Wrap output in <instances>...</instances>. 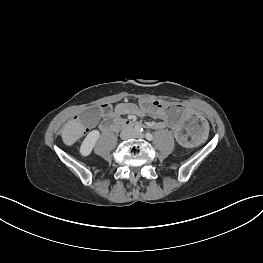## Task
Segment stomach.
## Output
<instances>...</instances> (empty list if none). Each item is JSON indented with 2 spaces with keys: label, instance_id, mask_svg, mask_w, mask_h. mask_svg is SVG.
Segmentation results:
<instances>
[{
  "label": "stomach",
  "instance_id": "1",
  "mask_svg": "<svg viewBox=\"0 0 263 263\" xmlns=\"http://www.w3.org/2000/svg\"><path fill=\"white\" fill-rule=\"evenodd\" d=\"M142 112L147 117L159 120L171 128L174 138L187 150H195L206 136V121L180 103L167 101H141Z\"/></svg>",
  "mask_w": 263,
  "mask_h": 263
}]
</instances>
